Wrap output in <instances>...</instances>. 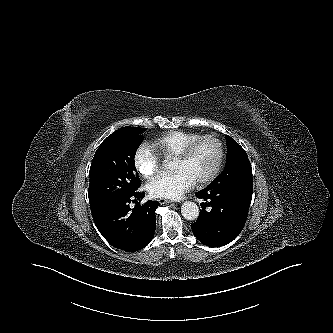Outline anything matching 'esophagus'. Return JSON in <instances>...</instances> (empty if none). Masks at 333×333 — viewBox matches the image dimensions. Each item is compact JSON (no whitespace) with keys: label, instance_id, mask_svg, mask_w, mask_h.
<instances>
[{"label":"esophagus","instance_id":"obj_1","mask_svg":"<svg viewBox=\"0 0 333 333\" xmlns=\"http://www.w3.org/2000/svg\"><path fill=\"white\" fill-rule=\"evenodd\" d=\"M160 202V204H167V203H171L172 201L168 200V199H165V198H160L158 200Z\"/></svg>","mask_w":333,"mask_h":333}]
</instances>
